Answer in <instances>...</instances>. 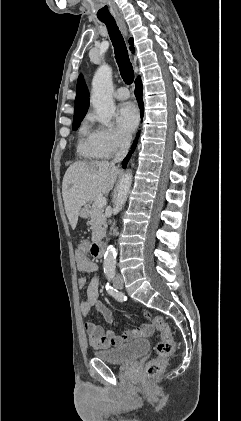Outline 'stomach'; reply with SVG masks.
<instances>
[{
	"label": "stomach",
	"mask_w": 241,
	"mask_h": 421,
	"mask_svg": "<svg viewBox=\"0 0 241 421\" xmlns=\"http://www.w3.org/2000/svg\"><path fill=\"white\" fill-rule=\"evenodd\" d=\"M79 216L83 219L87 218L89 216V211L86 207L81 208L79 212Z\"/></svg>",
	"instance_id": "1"
}]
</instances>
